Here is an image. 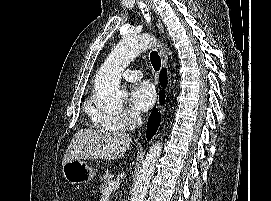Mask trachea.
I'll use <instances>...</instances> for the list:
<instances>
[{
	"mask_svg": "<svg viewBox=\"0 0 271 201\" xmlns=\"http://www.w3.org/2000/svg\"><path fill=\"white\" fill-rule=\"evenodd\" d=\"M150 61L155 71H159L161 67V59L157 51H152L150 54Z\"/></svg>",
	"mask_w": 271,
	"mask_h": 201,
	"instance_id": "obj_1",
	"label": "trachea"
}]
</instances>
